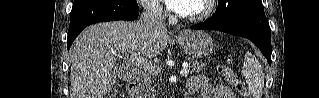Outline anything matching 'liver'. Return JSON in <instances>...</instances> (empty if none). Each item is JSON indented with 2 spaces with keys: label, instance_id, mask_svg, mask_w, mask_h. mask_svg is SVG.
<instances>
[{
  "label": "liver",
  "instance_id": "liver-1",
  "mask_svg": "<svg viewBox=\"0 0 319 98\" xmlns=\"http://www.w3.org/2000/svg\"><path fill=\"white\" fill-rule=\"evenodd\" d=\"M168 42L167 31L146 32L139 21L87 27L71 47L70 98H104L120 75L119 54L139 53L152 59Z\"/></svg>",
  "mask_w": 319,
  "mask_h": 98
}]
</instances>
